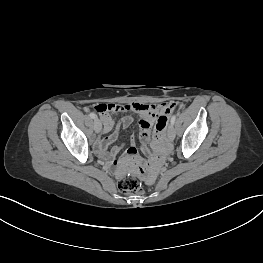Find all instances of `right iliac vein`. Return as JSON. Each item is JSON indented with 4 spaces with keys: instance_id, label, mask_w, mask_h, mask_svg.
<instances>
[{
    "instance_id": "63e3f726",
    "label": "right iliac vein",
    "mask_w": 263,
    "mask_h": 263,
    "mask_svg": "<svg viewBox=\"0 0 263 263\" xmlns=\"http://www.w3.org/2000/svg\"><path fill=\"white\" fill-rule=\"evenodd\" d=\"M102 129V124L98 118H95L94 120V130L96 133H99Z\"/></svg>"
}]
</instances>
